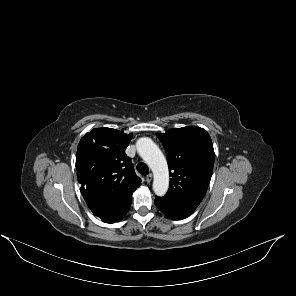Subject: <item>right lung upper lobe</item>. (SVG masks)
Listing matches in <instances>:
<instances>
[{"label": "right lung upper lobe", "mask_w": 296, "mask_h": 296, "mask_svg": "<svg viewBox=\"0 0 296 296\" xmlns=\"http://www.w3.org/2000/svg\"><path fill=\"white\" fill-rule=\"evenodd\" d=\"M132 134L95 128L79 142L76 170L86 202L123 200L141 185L131 159L125 154Z\"/></svg>", "instance_id": "1"}]
</instances>
